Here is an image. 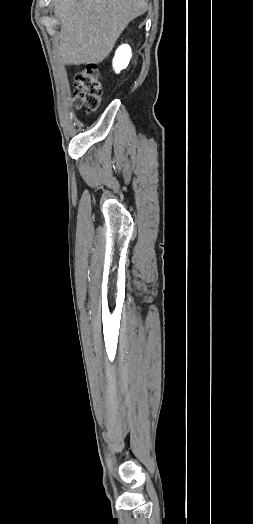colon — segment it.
<instances>
[{"label":"colon","instance_id":"colon-1","mask_svg":"<svg viewBox=\"0 0 253 524\" xmlns=\"http://www.w3.org/2000/svg\"><path fill=\"white\" fill-rule=\"evenodd\" d=\"M102 93L97 65L87 64L75 75L74 80V102L78 109L87 114L95 111L99 104Z\"/></svg>","mask_w":253,"mask_h":524}]
</instances>
